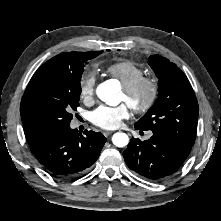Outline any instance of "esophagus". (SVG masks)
I'll list each match as a JSON object with an SVG mask.
<instances>
[{
  "label": "esophagus",
  "mask_w": 221,
  "mask_h": 221,
  "mask_svg": "<svg viewBox=\"0 0 221 221\" xmlns=\"http://www.w3.org/2000/svg\"><path fill=\"white\" fill-rule=\"evenodd\" d=\"M113 132L112 131H104L103 134L105 137L111 135Z\"/></svg>",
  "instance_id": "1"
}]
</instances>
